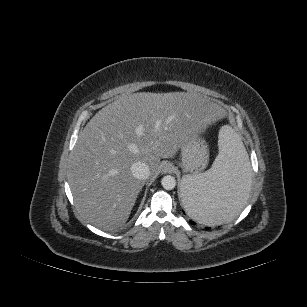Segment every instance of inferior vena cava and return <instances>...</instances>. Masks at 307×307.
Returning <instances> with one entry per match:
<instances>
[{
	"mask_svg": "<svg viewBox=\"0 0 307 307\" xmlns=\"http://www.w3.org/2000/svg\"><path fill=\"white\" fill-rule=\"evenodd\" d=\"M132 175L140 180L147 179L150 175V168L149 166L142 162V161H137L134 162L131 167H130Z\"/></svg>",
	"mask_w": 307,
	"mask_h": 307,
	"instance_id": "inferior-vena-cava-1",
	"label": "inferior vena cava"
}]
</instances>
